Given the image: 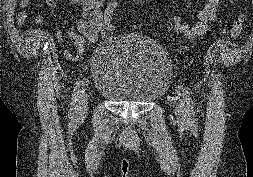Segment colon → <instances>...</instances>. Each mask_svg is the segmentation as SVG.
<instances>
[{
  "label": "colon",
  "instance_id": "5ec220e1",
  "mask_svg": "<svg viewBox=\"0 0 253 177\" xmlns=\"http://www.w3.org/2000/svg\"><path fill=\"white\" fill-rule=\"evenodd\" d=\"M122 3V0L107 1L103 10V24L100 34L103 39H108L113 36ZM247 19V13L244 10H239L233 18L231 26L225 29L223 33L230 38L241 36L245 30Z\"/></svg>",
  "mask_w": 253,
  "mask_h": 177
}]
</instances>
